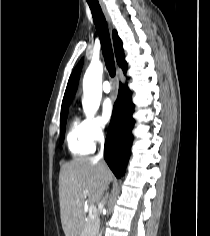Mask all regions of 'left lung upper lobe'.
I'll list each match as a JSON object with an SVG mask.
<instances>
[{
	"label": "left lung upper lobe",
	"mask_w": 210,
	"mask_h": 236,
	"mask_svg": "<svg viewBox=\"0 0 210 236\" xmlns=\"http://www.w3.org/2000/svg\"><path fill=\"white\" fill-rule=\"evenodd\" d=\"M82 64H83V59H82L81 62H80V69H81V67H82Z\"/></svg>",
	"instance_id": "obj_1"
}]
</instances>
